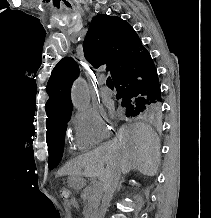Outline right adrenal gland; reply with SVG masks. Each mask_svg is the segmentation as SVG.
I'll use <instances>...</instances> for the list:
<instances>
[{
  "instance_id": "right-adrenal-gland-1",
  "label": "right adrenal gland",
  "mask_w": 211,
  "mask_h": 218,
  "mask_svg": "<svg viewBox=\"0 0 211 218\" xmlns=\"http://www.w3.org/2000/svg\"><path fill=\"white\" fill-rule=\"evenodd\" d=\"M123 182H125L124 178H122L121 182H119L118 184V188H117L118 192H120Z\"/></svg>"
}]
</instances>
